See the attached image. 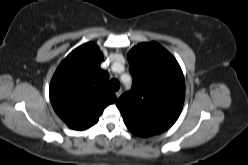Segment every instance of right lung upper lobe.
I'll use <instances>...</instances> for the list:
<instances>
[{"label":"right lung upper lobe","mask_w":248,"mask_h":165,"mask_svg":"<svg viewBox=\"0 0 248 165\" xmlns=\"http://www.w3.org/2000/svg\"><path fill=\"white\" fill-rule=\"evenodd\" d=\"M102 53L92 42L73 50L57 68L49 88L57 115L74 130L96 124L103 109L115 102L107 87L109 75L100 68Z\"/></svg>","instance_id":"1"}]
</instances>
